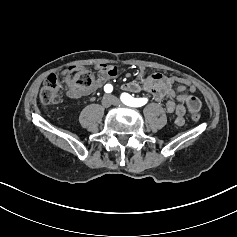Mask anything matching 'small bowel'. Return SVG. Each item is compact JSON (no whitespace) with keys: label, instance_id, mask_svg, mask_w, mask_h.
<instances>
[{"label":"small bowel","instance_id":"small-bowel-1","mask_svg":"<svg viewBox=\"0 0 237 237\" xmlns=\"http://www.w3.org/2000/svg\"><path fill=\"white\" fill-rule=\"evenodd\" d=\"M96 68L97 76L90 87L77 90L67 86L66 95L72 99L87 96L119 74V70L112 65L101 64ZM63 76L66 77V74L64 73ZM176 83L180 85L175 88ZM123 88L130 92H145L155 101H162L169 97L165 102V109L174 115L177 125L184 123L187 113L198 111L201 106L200 100L196 96L187 94L195 92L196 86L189 80L177 76H165L159 73L147 74L144 70H140L134 79L123 85Z\"/></svg>","mask_w":237,"mask_h":237}]
</instances>
